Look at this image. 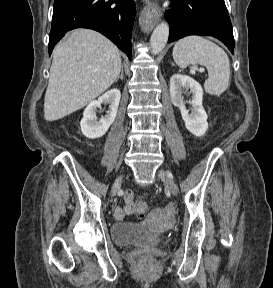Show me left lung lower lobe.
Returning a JSON list of instances; mask_svg holds the SVG:
<instances>
[{
    "mask_svg": "<svg viewBox=\"0 0 273 288\" xmlns=\"http://www.w3.org/2000/svg\"><path fill=\"white\" fill-rule=\"evenodd\" d=\"M165 12L170 25L168 43L188 35L213 36L234 53L231 21L224 0H172Z\"/></svg>",
    "mask_w": 273,
    "mask_h": 288,
    "instance_id": "0a47b994",
    "label": "left lung lower lobe"
}]
</instances>
